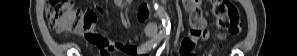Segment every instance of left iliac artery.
Listing matches in <instances>:
<instances>
[{
  "instance_id": "left-iliac-artery-1",
  "label": "left iliac artery",
  "mask_w": 297,
  "mask_h": 56,
  "mask_svg": "<svg viewBox=\"0 0 297 56\" xmlns=\"http://www.w3.org/2000/svg\"><path fill=\"white\" fill-rule=\"evenodd\" d=\"M164 47H165V44L162 46V48H161V49H159V50H158V52H157V56H159V55H160V53H161V51L164 49Z\"/></svg>"
}]
</instances>
